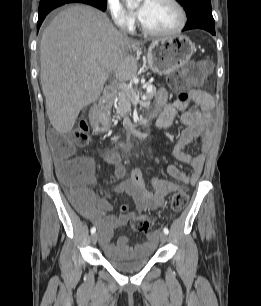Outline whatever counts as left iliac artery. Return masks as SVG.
<instances>
[{"label": "left iliac artery", "mask_w": 261, "mask_h": 306, "mask_svg": "<svg viewBox=\"0 0 261 306\" xmlns=\"http://www.w3.org/2000/svg\"><path fill=\"white\" fill-rule=\"evenodd\" d=\"M163 232L165 233V234H169V230H168V228L167 227H165L164 229H163Z\"/></svg>", "instance_id": "left-iliac-artery-1"}]
</instances>
